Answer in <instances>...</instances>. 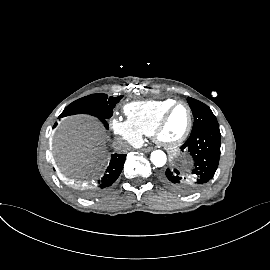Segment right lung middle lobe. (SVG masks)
I'll list each match as a JSON object with an SVG mask.
<instances>
[{
  "label": "right lung middle lobe",
  "instance_id": "obj_1",
  "mask_svg": "<svg viewBox=\"0 0 270 270\" xmlns=\"http://www.w3.org/2000/svg\"><path fill=\"white\" fill-rule=\"evenodd\" d=\"M122 98V95L108 98L106 94H92L68 105L59 118L73 114H89L106 120L112 116L113 108Z\"/></svg>",
  "mask_w": 270,
  "mask_h": 270
}]
</instances>
